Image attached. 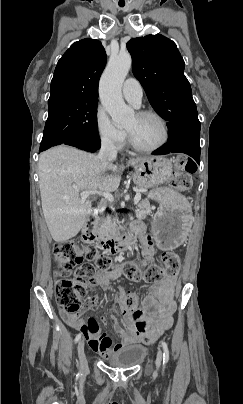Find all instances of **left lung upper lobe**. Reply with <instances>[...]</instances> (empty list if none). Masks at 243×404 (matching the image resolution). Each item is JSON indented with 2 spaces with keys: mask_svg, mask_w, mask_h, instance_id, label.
<instances>
[{
  "mask_svg": "<svg viewBox=\"0 0 243 404\" xmlns=\"http://www.w3.org/2000/svg\"><path fill=\"white\" fill-rule=\"evenodd\" d=\"M127 49L133 74L154 110L167 121L169 134L183 128L200 129L184 61L175 43L160 34L147 35L131 39Z\"/></svg>",
  "mask_w": 243,
  "mask_h": 404,
  "instance_id": "obj_1",
  "label": "left lung upper lobe"
}]
</instances>
